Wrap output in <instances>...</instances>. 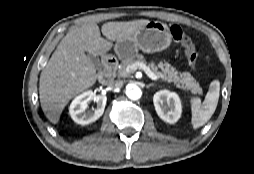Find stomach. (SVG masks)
Here are the masks:
<instances>
[{
	"label": "stomach",
	"instance_id": "0dacf381",
	"mask_svg": "<svg viewBox=\"0 0 254 174\" xmlns=\"http://www.w3.org/2000/svg\"><path fill=\"white\" fill-rule=\"evenodd\" d=\"M171 43L168 26L160 21L147 23L138 33L115 44V52L122 59L134 58L138 50L154 53L166 49Z\"/></svg>",
	"mask_w": 254,
	"mask_h": 174
}]
</instances>
